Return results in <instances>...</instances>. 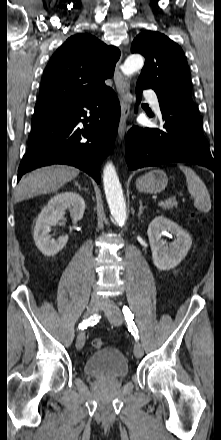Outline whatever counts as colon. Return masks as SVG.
Here are the masks:
<instances>
[{
    "label": "colon",
    "mask_w": 221,
    "mask_h": 440,
    "mask_svg": "<svg viewBox=\"0 0 221 440\" xmlns=\"http://www.w3.org/2000/svg\"><path fill=\"white\" fill-rule=\"evenodd\" d=\"M91 345L94 349H101L104 346V342L102 339L96 338L92 340Z\"/></svg>",
    "instance_id": "obj_1"
}]
</instances>
